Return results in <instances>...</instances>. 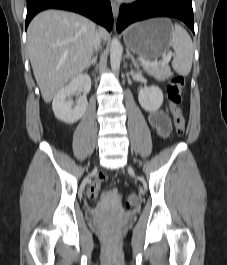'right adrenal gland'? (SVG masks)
I'll use <instances>...</instances> for the list:
<instances>
[{"mask_svg": "<svg viewBox=\"0 0 227 265\" xmlns=\"http://www.w3.org/2000/svg\"><path fill=\"white\" fill-rule=\"evenodd\" d=\"M97 55H95L94 57H92V60L90 61V63L87 66V70L91 67V65H95L97 63Z\"/></svg>", "mask_w": 227, "mask_h": 265, "instance_id": "obj_1", "label": "right adrenal gland"}]
</instances>
